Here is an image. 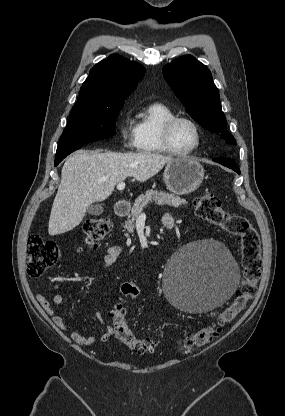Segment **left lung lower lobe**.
Listing matches in <instances>:
<instances>
[{
  "mask_svg": "<svg viewBox=\"0 0 285 416\" xmlns=\"http://www.w3.org/2000/svg\"><path fill=\"white\" fill-rule=\"evenodd\" d=\"M213 161L220 163L232 170H234L235 172H237L238 174H240V169L239 167L236 165L235 161L233 159H226V158H217V159H213Z\"/></svg>",
  "mask_w": 285,
  "mask_h": 416,
  "instance_id": "0a47b994",
  "label": "left lung lower lobe"
}]
</instances>
